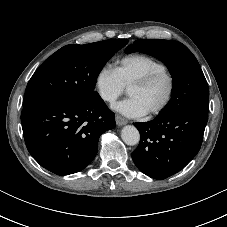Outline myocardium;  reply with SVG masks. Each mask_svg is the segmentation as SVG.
<instances>
[{
    "instance_id": "myocardium-1",
    "label": "myocardium",
    "mask_w": 227,
    "mask_h": 227,
    "mask_svg": "<svg viewBox=\"0 0 227 227\" xmlns=\"http://www.w3.org/2000/svg\"><path fill=\"white\" fill-rule=\"evenodd\" d=\"M161 76L167 77L169 81L168 93L164 101L156 109L146 113L148 117H155L160 115L162 112H164L167 109V107L171 103L174 96L175 88H176V81L173 73L167 68L155 70L135 80L128 86V90L133 87H140V88L146 87Z\"/></svg>"
}]
</instances>
